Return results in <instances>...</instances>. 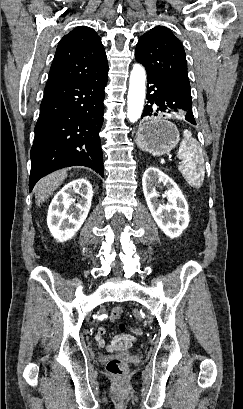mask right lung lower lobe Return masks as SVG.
I'll return each mask as SVG.
<instances>
[{"instance_id": "1", "label": "right lung lower lobe", "mask_w": 243, "mask_h": 409, "mask_svg": "<svg viewBox=\"0 0 243 409\" xmlns=\"http://www.w3.org/2000/svg\"><path fill=\"white\" fill-rule=\"evenodd\" d=\"M107 73L108 68L86 80L47 83L30 153L29 191L43 176L73 165L104 177L99 132Z\"/></svg>"}]
</instances>
